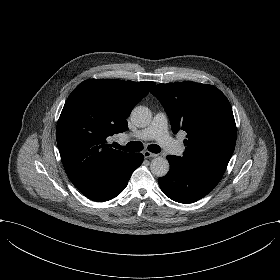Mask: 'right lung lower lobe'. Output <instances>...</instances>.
Returning <instances> with one entry per match:
<instances>
[{"label": "right lung lower lobe", "instance_id": "1", "mask_svg": "<svg viewBox=\"0 0 280 280\" xmlns=\"http://www.w3.org/2000/svg\"><path fill=\"white\" fill-rule=\"evenodd\" d=\"M143 158L144 156L141 153L135 154L133 161L120 172L111 176L109 181L102 186L100 192L90 199L101 202L110 200L120 194L126 187L133 171L141 165Z\"/></svg>", "mask_w": 280, "mask_h": 280}]
</instances>
